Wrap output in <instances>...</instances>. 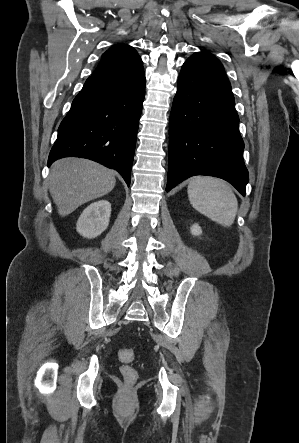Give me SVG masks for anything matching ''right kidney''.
<instances>
[{
  "label": "right kidney",
  "mask_w": 299,
  "mask_h": 443,
  "mask_svg": "<svg viewBox=\"0 0 299 443\" xmlns=\"http://www.w3.org/2000/svg\"><path fill=\"white\" fill-rule=\"evenodd\" d=\"M110 215L111 204L107 200L94 202L80 215L76 230L85 238H95L108 227Z\"/></svg>",
  "instance_id": "1"
}]
</instances>
